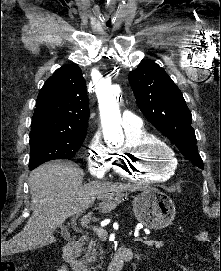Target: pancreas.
<instances>
[{
	"label": "pancreas",
	"mask_w": 221,
	"mask_h": 271,
	"mask_svg": "<svg viewBox=\"0 0 221 271\" xmlns=\"http://www.w3.org/2000/svg\"><path fill=\"white\" fill-rule=\"evenodd\" d=\"M141 244H145V247H165V239H141ZM99 247L96 245V241H90L87 247H85V253L81 259L85 265H90L93 261H96Z\"/></svg>",
	"instance_id": "1"
}]
</instances>
